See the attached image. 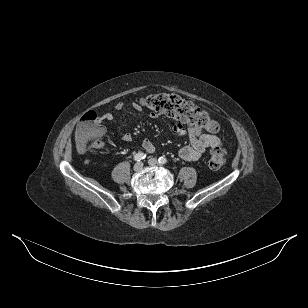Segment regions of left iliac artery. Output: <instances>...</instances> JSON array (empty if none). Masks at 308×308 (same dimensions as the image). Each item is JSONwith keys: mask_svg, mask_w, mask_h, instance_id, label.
<instances>
[{"mask_svg": "<svg viewBox=\"0 0 308 308\" xmlns=\"http://www.w3.org/2000/svg\"><path fill=\"white\" fill-rule=\"evenodd\" d=\"M158 161H159L160 164H166V163L168 162L167 159H166L165 157H160V158L158 159Z\"/></svg>", "mask_w": 308, "mask_h": 308, "instance_id": "obj_1", "label": "left iliac artery"}]
</instances>
